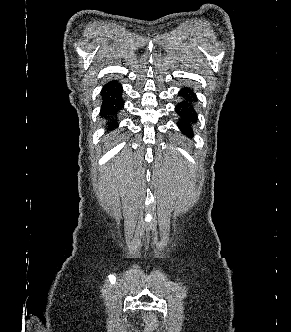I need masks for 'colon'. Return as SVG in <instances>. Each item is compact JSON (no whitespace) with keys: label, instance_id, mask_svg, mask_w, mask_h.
<instances>
[{"label":"colon","instance_id":"obj_1","mask_svg":"<svg viewBox=\"0 0 291 332\" xmlns=\"http://www.w3.org/2000/svg\"><path fill=\"white\" fill-rule=\"evenodd\" d=\"M147 321H148V330L149 332H152L157 327L156 319L154 316L150 315L148 316Z\"/></svg>","mask_w":291,"mask_h":332}]
</instances>
